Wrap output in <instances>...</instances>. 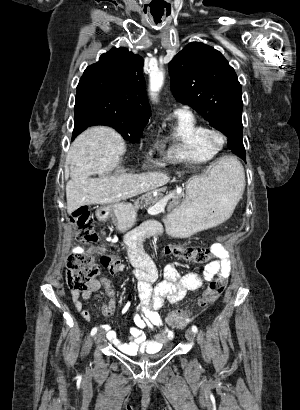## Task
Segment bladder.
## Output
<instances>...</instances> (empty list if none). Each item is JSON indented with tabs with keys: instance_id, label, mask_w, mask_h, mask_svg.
<instances>
[{
	"instance_id": "bladder-1",
	"label": "bladder",
	"mask_w": 300,
	"mask_h": 410,
	"mask_svg": "<svg viewBox=\"0 0 300 410\" xmlns=\"http://www.w3.org/2000/svg\"><path fill=\"white\" fill-rule=\"evenodd\" d=\"M165 354V350H162L156 354L150 355V356H143L141 359L144 361H156L160 359L163 355Z\"/></svg>"
}]
</instances>
